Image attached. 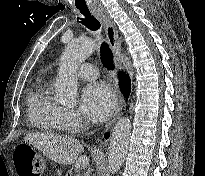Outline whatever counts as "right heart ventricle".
I'll return each instance as SVG.
<instances>
[{"label": "right heart ventricle", "mask_w": 205, "mask_h": 176, "mask_svg": "<svg viewBox=\"0 0 205 176\" xmlns=\"http://www.w3.org/2000/svg\"><path fill=\"white\" fill-rule=\"evenodd\" d=\"M29 121L33 127L51 134L64 132L62 106L51 95L48 81L37 79L28 96Z\"/></svg>", "instance_id": "obj_1"}]
</instances>
